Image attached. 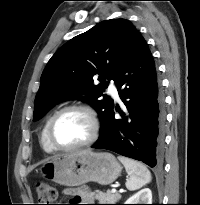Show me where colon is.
Listing matches in <instances>:
<instances>
[{
    "instance_id": "1",
    "label": "colon",
    "mask_w": 200,
    "mask_h": 205,
    "mask_svg": "<svg viewBox=\"0 0 200 205\" xmlns=\"http://www.w3.org/2000/svg\"><path fill=\"white\" fill-rule=\"evenodd\" d=\"M36 193L38 198V205H54L57 197L56 189L45 181L36 182Z\"/></svg>"
}]
</instances>
